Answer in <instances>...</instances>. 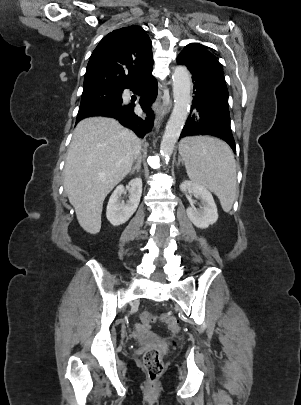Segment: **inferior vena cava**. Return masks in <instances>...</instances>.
<instances>
[{
	"label": "inferior vena cava",
	"mask_w": 301,
	"mask_h": 405,
	"mask_svg": "<svg viewBox=\"0 0 301 405\" xmlns=\"http://www.w3.org/2000/svg\"><path fill=\"white\" fill-rule=\"evenodd\" d=\"M140 149H141V146H137V148H136V150H135V153H134V157H135V158H137V157L139 156V154H140Z\"/></svg>",
	"instance_id": "obj_1"
}]
</instances>
